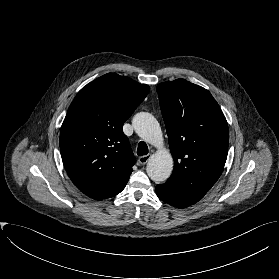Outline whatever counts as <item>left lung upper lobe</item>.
<instances>
[{
  "label": "left lung upper lobe",
  "instance_id": "obj_1",
  "mask_svg": "<svg viewBox=\"0 0 279 279\" xmlns=\"http://www.w3.org/2000/svg\"><path fill=\"white\" fill-rule=\"evenodd\" d=\"M156 89L174 158L167 182L205 195L227 159L226 118L208 90L187 80L163 82Z\"/></svg>",
  "mask_w": 279,
  "mask_h": 279
}]
</instances>
